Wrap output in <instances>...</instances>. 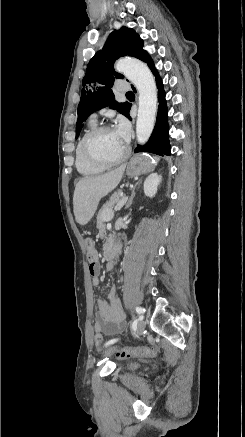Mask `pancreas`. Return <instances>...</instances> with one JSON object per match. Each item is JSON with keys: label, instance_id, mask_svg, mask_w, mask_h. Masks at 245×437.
<instances>
[{"label": "pancreas", "instance_id": "cf45deb5", "mask_svg": "<svg viewBox=\"0 0 245 437\" xmlns=\"http://www.w3.org/2000/svg\"><path fill=\"white\" fill-rule=\"evenodd\" d=\"M122 199V192L121 190H118L112 194L110 197V200L103 205L101 210L99 211L97 215V228L99 229L100 237L106 238V231H105V221L108 214L113 213V208L115 205H117Z\"/></svg>", "mask_w": 245, "mask_h": 437}]
</instances>
